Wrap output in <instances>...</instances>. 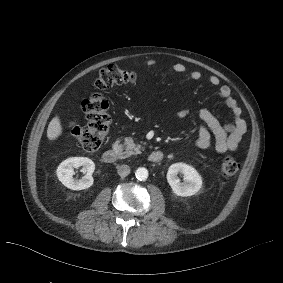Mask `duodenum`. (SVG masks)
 Masks as SVG:
<instances>
[{
  "instance_id": "410a0bca",
  "label": "duodenum",
  "mask_w": 283,
  "mask_h": 283,
  "mask_svg": "<svg viewBox=\"0 0 283 283\" xmlns=\"http://www.w3.org/2000/svg\"><path fill=\"white\" fill-rule=\"evenodd\" d=\"M120 145L115 143L114 146L103 153V161L108 164H113L119 161ZM148 159L151 162L158 163L163 159V153L161 151H153L149 154Z\"/></svg>"
}]
</instances>
